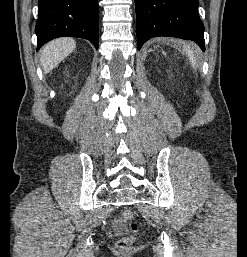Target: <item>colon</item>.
I'll list each match as a JSON object with an SVG mask.
<instances>
[{"mask_svg": "<svg viewBox=\"0 0 247 257\" xmlns=\"http://www.w3.org/2000/svg\"><path fill=\"white\" fill-rule=\"evenodd\" d=\"M122 220H124L125 222H129L130 223V229L133 233H135L138 230V224L137 222L134 220V214L131 210H125L122 215H121ZM135 241V237L133 234L127 235V236H123L121 238H119L116 242V248L118 251L120 252H126L129 251Z\"/></svg>", "mask_w": 247, "mask_h": 257, "instance_id": "1", "label": "colon"}]
</instances>
